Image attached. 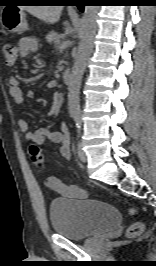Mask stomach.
Wrapping results in <instances>:
<instances>
[{"instance_id":"0dacf381","label":"stomach","mask_w":156,"mask_h":266,"mask_svg":"<svg viewBox=\"0 0 156 266\" xmlns=\"http://www.w3.org/2000/svg\"><path fill=\"white\" fill-rule=\"evenodd\" d=\"M2 19L4 26L12 32L22 33L28 28L25 14L20 8L5 11Z\"/></svg>"}]
</instances>
